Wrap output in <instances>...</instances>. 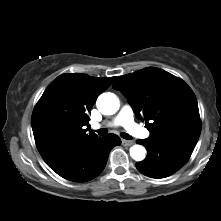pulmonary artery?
I'll list each match as a JSON object with an SVG mask.
<instances>
[{"label": "pulmonary artery", "mask_w": 221, "mask_h": 221, "mask_svg": "<svg viewBox=\"0 0 221 221\" xmlns=\"http://www.w3.org/2000/svg\"><path fill=\"white\" fill-rule=\"evenodd\" d=\"M108 126H123L132 136L137 138H147L149 132L134 122L133 110L129 105H125L120 110L116 118L108 124ZM98 123L93 124L94 129L100 128Z\"/></svg>", "instance_id": "1"}]
</instances>
